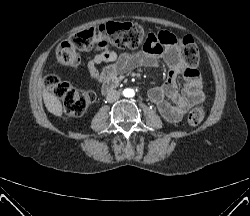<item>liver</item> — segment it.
Here are the masks:
<instances>
[{
    "mask_svg": "<svg viewBox=\"0 0 250 216\" xmlns=\"http://www.w3.org/2000/svg\"><path fill=\"white\" fill-rule=\"evenodd\" d=\"M43 86V100L45 103V106L47 110L54 114L55 116H62L63 109H62V104L60 100L53 94H51L45 87V85L42 83Z\"/></svg>",
    "mask_w": 250,
    "mask_h": 216,
    "instance_id": "obj_1",
    "label": "liver"
}]
</instances>
